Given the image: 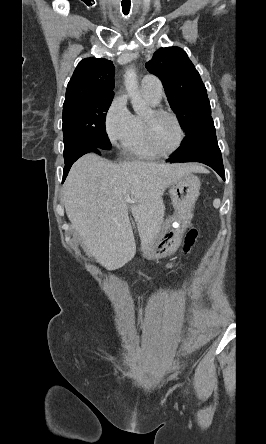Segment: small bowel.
Wrapping results in <instances>:
<instances>
[{
	"label": "small bowel",
	"instance_id": "obj_1",
	"mask_svg": "<svg viewBox=\"0 0 266 444\" xmlns=\"http://www.w3.org/2000/svg\"><path fill=\"white\" fill-rule=\"evenodd\" d=\"M196 238H197V231L195 229L191 228L188 231V233L186 234V236L184 238L183 246H182V252L185 255L191 251V249L196 241ZM178 265H179V262H171L166 265V269H172V268L177 267Z\"/></svg>",
	"mask_w": 266,
	"mask_h": 444
}]
</instances>
